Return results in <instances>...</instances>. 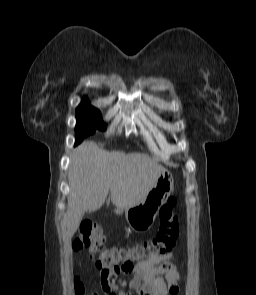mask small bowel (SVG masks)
<instances>
[{"instance_id":"1","label":"small bowel","mask_w":256,"mask_h":295,"mask_svg":"<svg viewBox=\"0 0 256 295\" xmlns=\"http://www.w3.org/2000/svg\"><path fill=\"white\" fill-rule=\"evenodd\" d=\"M172 258L173 254H167L155 260L139 263L130 270H102L99 277L101 289L104 295H130L123 293L118 281L119 275L125 271L134 275L128 284L132 294L176 295L181 276L176 264L171 261Z\"/></svg>"}]
</instances>
